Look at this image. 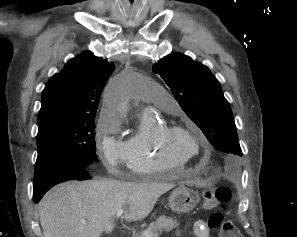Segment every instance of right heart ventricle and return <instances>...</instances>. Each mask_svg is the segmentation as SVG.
I'll return each instance as SVG.
<instances>
[{"label":"right heart ventricle","instance_id":"1","mask_svg":"<svg viewBox=\"0 0 297 237\" xmlns=\"http://www.w3.org/2000/svg\"><path fill=\"white\" fill-rule=\"evenodd\" d=\"M166 124L164 119L157 117L154 113L142 112L138 131L126 142V163L133 174L166 175L186 165V162L178 158L165 155L157 145L159 130Z\"/></svg>","mask_w":297,"mask_h":237}]
</instances>
